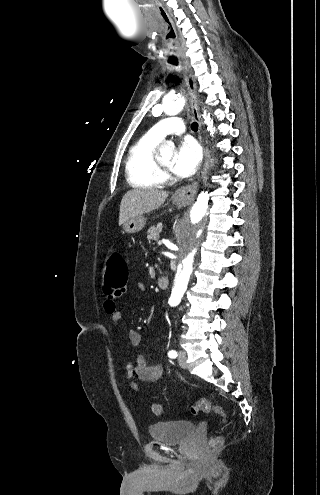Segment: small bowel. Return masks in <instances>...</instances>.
<instances>
[{
	"instance_id": "c3829d8e",
	"label": "small bowel",
	"mask_w": 320,
	"mask_h": 495,
	"mask_svg": "<svg viewBox=\"0 0 320 495\" xmlns=\"http://www.w3.org/2000/svg\"><path fill=\"white\" fill-rule=\"evenodd\" d=\"M137 288L140 291L145 289L144 284L138 283ZM127 286H124L121 293L111 292L106 293V299L104 301L103 307L104 311L111 317L114 323H119L122 318V313L117 308V298L121 296L122 293L126 292ZM129 342L134 347H139L142 345V336L135 330L130 329L128 331ZM126 374L129 378L137 377L138 379L145 381L147 383H154L161 379L164 374V366L162 364L150 365L145 356L139 353L135 358V363H129L127 366ZM134 390L139 391V387L135 382L131 383Z\"/></svg>"
}]
</instances>
